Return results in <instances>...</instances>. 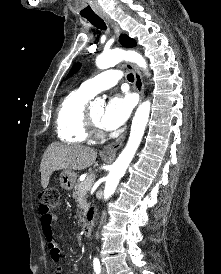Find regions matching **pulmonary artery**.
Instances as JSON below:
<instances>
[{
	"instance_id": "1",
	"label": "pulmonary artery",
	"mask_w": 221,
	"mask_h": 274,
	"mask_svg": "<svg viewBox=\"0 0 221 274\" xmlns=\"http://www.w3.org/2000/svg\"><path fill=\"white\" fill-rule=\"evenodd\" d=\"M120 79V71L116 69H110L86 80L84 83H82L80 88L88 94L94 96L100 91L115 86Z\"/></svg>"
}]
</instances>
